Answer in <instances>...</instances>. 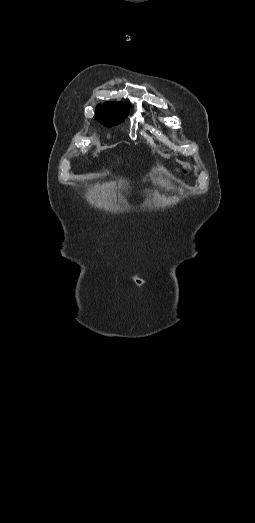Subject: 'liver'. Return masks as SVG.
Listing matches in <instances>:
<instances>
[{"label": "liver", "instance_id": "liver-1", "mask_svg": "<svg viewBox=\"0 0 255 523\" xmlns=\"http://www.w3.org/2000/svg\"><path fill=\"white\" fill-rule=\"evenodd\" d=\"M95 144H97V146H100L98 140H97V142H95ZM94 156H96V154H94Z\"/></svg>", "mask_w": 255, "mask_h": 523}]
</instances>
